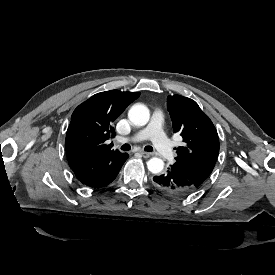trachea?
Returning a JSON list of instances; mask_svg holds the SVG:
<instances>
[{"label":"trachea","mask_w":275,"mask_h":275,"mask_svg":"<svg viewBox=\"0 0 275 275\" xmlns=\"http://www.w3.org/2000/svg\"><path fill=\"white\" fill-rule=\"evenodd\" d=\"M121 149H122L123 151H129V150L131 149V146H130L128 143H125V144L121 147ZM144 150H145V151H148V152H151V151H153V147L147 145V146L144 147Z\"/></svg>","instance_id":"obj_1"}]
</instances>
